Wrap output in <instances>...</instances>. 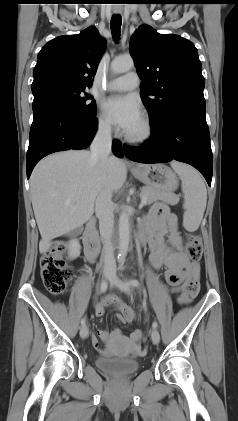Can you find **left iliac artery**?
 Listing matches in <instances>:
<instances>
[{
    "label": "left iliac artery",
    "instance_id": "1",
    "mask_svg": "<svg viewBox=\"0 0 238 421\" xmlns=\"http://www.w3.org/2000/svg\"><path fill=\"white\" fill-rule=\"evenodd\" d=\"M127 283L130 286H133V287H138L139 286V282L136 279H130V280L127 281ZM152 326H153V328H156L158 326L157 322L154 321L153 324H152Z\"/></svg>",
    "mask_w": 238,
    "mask_h": 421
}]
</instances>
